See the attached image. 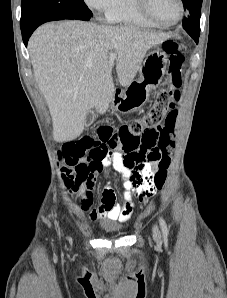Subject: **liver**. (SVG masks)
Returning a JSON list of instances; mask_svg holds the SVG:
<instances>
[{
	"label": "liver",
	"mask_w": 227,
	"mask_h": 298,
	"mask_svg": "<svg viewBox=\"0 0 227 298\" xmlns=\"http://www.w3.org/2000/svg\"><path fill=\"white\" fill-rule=\"evenodd\" d=\"M167 33L131 26L71 20L47 23L32 34L28 49L38 87L45 97L57 142L74 140L84 130L86 114H104L115 88L109 52L116 54L120 85L135 78L149 49Z\"/></svg>",
	"instance_id": "6515ba94"
}]
</instances>
